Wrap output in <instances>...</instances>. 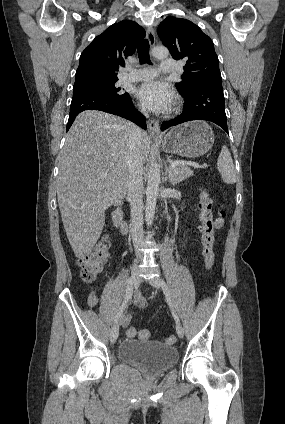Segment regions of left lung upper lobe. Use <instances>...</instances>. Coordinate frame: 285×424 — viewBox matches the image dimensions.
Returning <instances> with one entry per match:
<instances>
[{"mask_svg":"<svg viewBox=\"0 0 285 424\" xmlns=\"http://www.w3.org/2000/svg\"><path fill=\"white\" fill-rule=\"evenodd\" d=\"M158 33L174 59H185L182 81L176 83L181 95L207 83H221L218 57L212 40L189 20L167 17Z\"/></svg>","mask_w":285,"mask_h":424,"instance_id":"5c2ea615","label":"left lung upper lobe"}]
</instances>
